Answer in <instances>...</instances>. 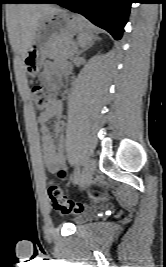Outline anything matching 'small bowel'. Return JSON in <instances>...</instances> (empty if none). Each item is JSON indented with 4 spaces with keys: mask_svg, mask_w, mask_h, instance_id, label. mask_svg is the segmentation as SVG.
<instances>
[{
    "mask_svg": "<svg viewBox=\"0 0 166 267\" xmlns=\"http://www.w3.org/2000/svg\"><path fill=\"white\" fill-rule=\"evenodd\" d=\"M60 71L67 72L68 68L65 65L47 62L41 74V82L52 89H56L60 83ZM61 114L62 103L55 102L51 107L38 115L37 121L39 124L45 167L50 172L63 176L65 172V158L64 144L61 136ZM53 118L58 120L54 128V134L46 125Z\"/></svg>",
    "mask_w": 166,
    "mask_h": 267,
    "instance_id": "c3829d8e",
    "label": "small bowel"
}]
</instances>
